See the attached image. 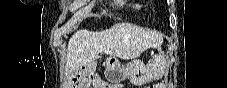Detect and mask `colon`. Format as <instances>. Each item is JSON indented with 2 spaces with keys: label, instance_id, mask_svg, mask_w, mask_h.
<instances>
[{
  "label": "colon",
  "instance_id": "5ec220e1",
  "mask_svg": "<svg viewBox=\"0 0 227 88\" xmlns=\"http://www.w3.org/2000/svg\"><path fill=\"white\" fill-rule=\"evenodd\" d=\"M97 71H98V68L94 67L93 70H92V73L96 74ZM154 88H160V86L159 85H155Z\"/></svg>",
  "mask_w": 227,
  "mask_h": 88
}]
</instances>
